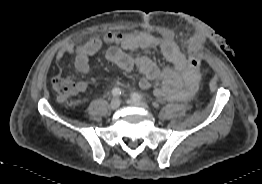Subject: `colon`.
Masks as SVG:
<instances>
[{"label":"colon","instance_id":"colon-1","mask_svg":"<svg viewBox=\"0 0 262 184\" xmlns=\"http://www.w3.org/2000/svg\"><path fill=\"white\" fill-rule=\"evenodd\" d=\"M187 67L191 72L201 73L203 62L190 50L187 55ZM52 86L59 97L64 101H71L78 92V84L70 76H56L52 80Z\"/></svg>","mask_w":262,"mask_h":184}]
</instances>
